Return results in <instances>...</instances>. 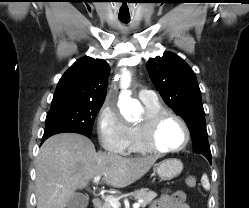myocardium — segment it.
<instances>
[{
	"instance_id": "obj_1",
	"label": "myocardium",
	"mask_w": 249,
	"mask_h": 208,
	"mask_svg": "<svg viewBox=\"0 0 249 208\" xmlns=\"http://www.w3.org/2000/svg\"><path fill=\"white\" fill-rule=\"evenodd\" d=\"M170 118L178 121L181 124V126L184 129L185 139H184L183 144L177 148L162 149L153 142V138H154L156 131L160 127V125L166 119H170ZM139 124H140L139 145L141 149L143 150V152L145 153H154V154L177 153V152L184 150L188 146L191 140V132L185 120L179 115L172 113L170 111L163 110L154 115L145 117L144 120H142V122Z\"/></svg>"
}]
</instances>
